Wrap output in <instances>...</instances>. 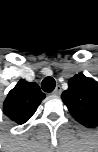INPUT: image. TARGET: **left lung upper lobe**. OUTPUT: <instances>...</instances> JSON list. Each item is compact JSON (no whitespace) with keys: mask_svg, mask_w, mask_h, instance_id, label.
<instances>
[{"mask_svg":"<svg viewBox=\"0 0 98 152\" xmlns=\"http://www.w3.org/2000/svg\"><path fill=\"white\" fill-rule=\"evenodd\" d=\"M61 98L77 122L89 128L98 125L97 81L79 73L69 79Z\"/></svg>","mask_w":98,"mask_h":152,"instance_id":"obj_1","label":"left lung upper lobe"}]
</instances>
